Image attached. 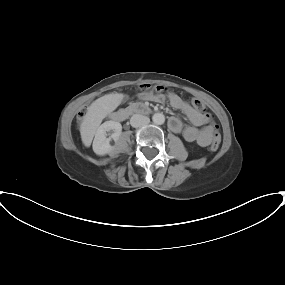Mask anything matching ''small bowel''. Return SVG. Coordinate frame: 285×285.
<instances>
[{
    "label": "small bowel",
    "instance_id": "obj_1",
    "mask_svg": "<svg viewBox=\"0 0 285 285\" xmlns=\"http://www.w3.org/2000/svg\"><path fill=\"white\" fill-rule=\"evenodd\" d=\"M142 100L163 102V95H155L151 92L142 93ZM171 106L180 110L191 122V125H184L182 121L176 117L169 120V128L175 133H181L188 142H196L200 146H208L211 143V132L206 126L208 120L205 115L195 110L190 104L174 93L168 95Z\"/></svg>",
    "mask_w": 285,
    "mask_h": 285
}]
</instances>
